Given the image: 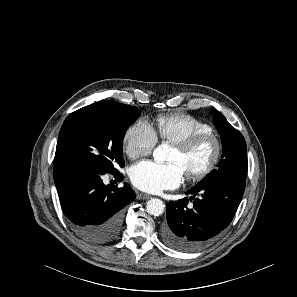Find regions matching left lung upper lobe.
I'll return each instance as SVG.
<instances>
[{"label":"left lung upper lobe","mask_w":297,"mask_h":297,"mask_svg":"<svg viewBox=\"0 0 297 297\" xmlns=\"http://www.w3.org/2000/svg\"><path fill=\"white\" fill-rule=\"evenodd\" d=\"M212 114L215 117L213 123L221 135L223 152L218 169L213 170L201 183L215 180L245 181L248 168L245 139L222 114L216 110Z\"/></svg>","instance_id":"obj_1"}]
</instances>
